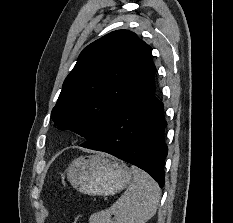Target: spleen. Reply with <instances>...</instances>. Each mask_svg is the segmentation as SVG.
Listing matches in <instances>:
<instances>
[{
	"instance_id": "spleen-1",
	"label": "spleen",
	"mask_w": 233,
	"mask_h": 223,
	"mask_svg": "<svg viewBox=\"0 0 233 223\" xmlns=\"http://www.w3.org/2000/svg\"><path fill=\"white\" fill-rule=\"evenodd\" d=\"M132 173L133 181L123 195L108 209L92 213L89 223H111V215H115L114 223H146L153 217L160 199V187L142 169L132 167Z\"/></svg>"
}]
</instances>
